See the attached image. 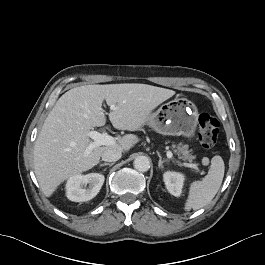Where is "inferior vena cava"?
<instances>
[{"mask_svg": "<svg viewBox=\"0 0 265 265\" xmlns=\"http://www.w3.org/2000/svg\"><path fill=\"white\" fill-rule=\"evenodd\" d=\"M122 156V153L118 150L108 149L102 153V160L106 162L118 161Z\"/></svg>", "mask_w": 265, "mask_h": 265, "instance_id": "1", "label": "inferior vena cava"}]
</instances>
